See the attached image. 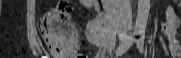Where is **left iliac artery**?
<instances>
[{"label":"left iliac artery","instance_id":"1","mask_svg":"<svg viewBox=\"0 0 181 58\" xmlns=\"http://www.w3.org/2000/svg\"><path fill=\"white\" fill-rule=\"evenodd\" d=\"M144 39H145V35L143 33V34H140V37L136 41L137 47L140 52H143V50H144Z\"/></svg>","mask_w":181,"mask_h":58}]
</instances>
